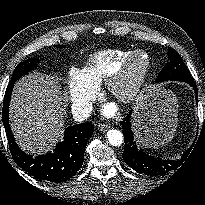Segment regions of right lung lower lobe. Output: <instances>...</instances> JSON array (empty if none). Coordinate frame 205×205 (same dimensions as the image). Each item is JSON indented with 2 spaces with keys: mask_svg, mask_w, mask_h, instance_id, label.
I'll return each instance as SVG.
<instances>
[{
  "mask_svg": "<svg viewBox=\"0 0 205 205\" xmlns=\"http://www.w3.org/2000/svg\"><path fill=\"white\" fill-rule=\"evenodd\" d=\"M13 86L14 84H9L5 92L2 121L14 161L36 179L51 183L69 180L82 166L85 147L94 132V126L92 123L69 126L64 131L63 141L57 145L54 152L32 157L18 147L8 122L9 102Z\"/></svg>",
  "mask_w": 205,
  "mask_h": 205,
  "instance_id": "1",
  "label": "right lung lower lobe"
}]
</instances>
